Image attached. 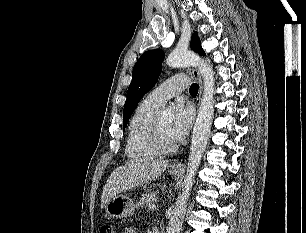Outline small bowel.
<instances>
[{
    "mask_svg": "<svg viewBox=\"0 0 306 233\" xmlns=\"http://www.w3.org/2000/svg\"><path fill=\"white\" fill-rule=\"evenodd\" d=\"M125 233H138V227H136V226L128 227L126 229Z\"/></svg>",
    "mask_w": 306,
    "mask_h": 233,
    "instance_id": "small-bowel-1",
    "label": "small bowel"
}]
</instances>
